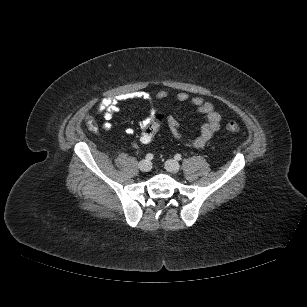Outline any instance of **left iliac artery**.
<instances>
[{"mask_svg":"<svg viewBox=\"0 0 307 307\" xmlns=\"http://www.w3.org/2000/svg\"><path fill=\"white\" fill-rule=\"evenodd\" d=\"M174 158H175V160H181L182 159V156L180 155V154H176L175 156H174Z\"/></svg>","mask_w":307,"mask_h":307,"instance_id":"44dca946","label":"left iliac artery"}]
</instances>
